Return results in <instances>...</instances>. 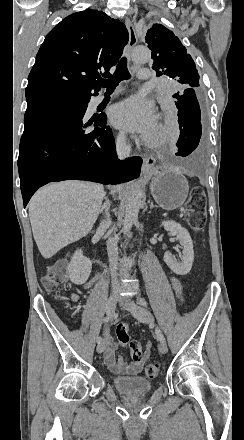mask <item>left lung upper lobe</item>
Segmentation results:
<instances>
[{"label": "left lung upper lobe", "instance_id": "obj_1", "mask_svg": "<svg viewBox=\"0 0 244 440\" xmlns=\"http://www.w3.org/2000/svg\"><path fill=\"white\" fill-rule=\"evenodd\" d=\"M157 76H167L186 87L199 86V74L191 56L172 31L154 24L145 37Z\"/></svg>", "mask_w": 244, "mask_h": 440}]
</instances>
